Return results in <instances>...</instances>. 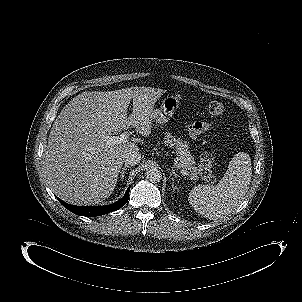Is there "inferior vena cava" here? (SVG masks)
<instances>
[{"instance_id":"602c4592","label":"inferior vena cava","mask_w":302,"mask_h":302,"mask_svg":"<svg viewBox=\"0 0 302 302\" xmlns=\"http://www.w3.org/2000/svg\"><path fill=\"white\" fill-rule=\"evenodd\" d=\"M124 162L126 165L134 166L141 160V154L138 151L130 150L124 154Z\"/></svg>"}]
</instances>
